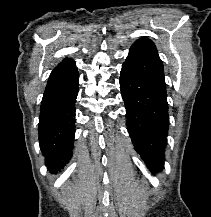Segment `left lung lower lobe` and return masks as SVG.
Listing matches in <instances>:
<instances>
[{
	"mask_svg": "<svg viewBox=\"0 0 211 217\" xmlns=\"http://www.w3.org/2000/svg\"><path fill=\"white\" fill-rule=\"evenodd\" d=\"M120 88L126 107L127 129L135 150L151 172L161 170L169 127L166 91L125 64L122 65Z\"/></svg>",
	"mask_w": 211,
	"mask_h": 217,
	"instance_id": "obj_1",
	"label": "left lung lower lobe"
}]
</instances>
